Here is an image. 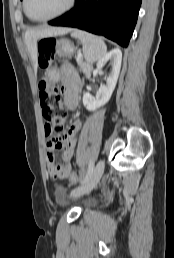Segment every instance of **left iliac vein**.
<instances>
[{"instance_id":"4c4485c4","label":"left iliac vein","mask_w":174,"mask_h":258,"mask_svg":"<svg viewBox=\"0 0 174 258\" xmlns=\"http://www.w3.org/2000/svg\"><path fill=\"white\" fill-rule=\"evenodd\" d=\"M104 167H105L104 161L100 160L96 164V167L93 171L91 178L86 183H84L82 186L73 190L72 196L80 197V196H83V195L89 193L98 184V182L104 172Z\"/></svg>"}]
</instances>
